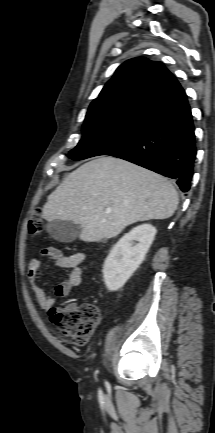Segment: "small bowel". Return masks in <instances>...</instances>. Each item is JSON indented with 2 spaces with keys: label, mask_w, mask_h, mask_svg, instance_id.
Returning a JSON list of instances; mask_svg holds the SVG:
<instances>
[{
  "label": "small bowel",
  "mask_w": 215,
  "mask_h": 433,
  "mask_svg": "<svg viewBox=\"0 0 215 433\" xmlns=\"http://www.w3.org/2000/svg\"><path fill=\"white\" fill-rule=\"evenodd\" d=\"M42 253L50 259L55 267L66 271L65 279L56 285L54 292L59 298L68 297L70 292L81 283L83 274L82 263L86 259V254L84 252H75L70 255H64L59 249L52 246L43 248ZM40 268L41 263L39 259H30L27 275L39 306L44 310H48L54 305V299L44 291L38 281Z\"/></svg>",
  "instance_id": "c3829d8e"
}]
</instances>
